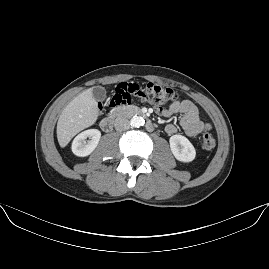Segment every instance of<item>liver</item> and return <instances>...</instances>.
<instances>
[{
    "instance_id": "1",
    "label": "liver",
    "mask_w": 269,
    "mask_h": 269,
    "mask_svg": "<svg viewBox=\"0 0 269 269\" xmlns=\"http://www.w3.org/2000/svg\"><path fill=\"white\" fill-rule=\"evenodd\" d=\"M98 116L97 101L88 89L75 97L62 111L57 123V137L64 147L81 130L92 125Z\"/></svg>"
}]
</instances>
